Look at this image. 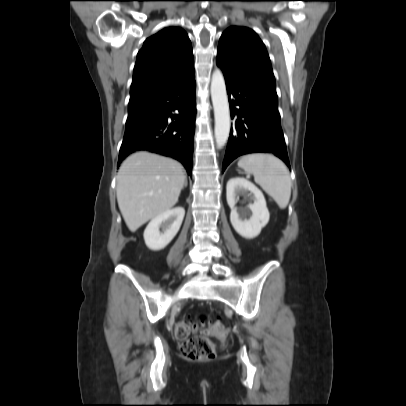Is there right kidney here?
Segmentation results:
<instances>
[{"mask_svg": "<svg viewBox=\"0 0 406 406\" xmlns=\"http://www.w3.org/2000/svg\"><path fill=\"white\" fill-rule=\"evenodd\" d=\"M184 215V208L176 207L153 218L144 231L147 247L155 251L165 248L178 233Z\"/></svg>", "mask_w": 406, "mask_h": 406, "instance_id": "ca27d5eb", "label": "right kidney"}]
</instances>
